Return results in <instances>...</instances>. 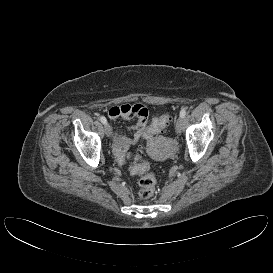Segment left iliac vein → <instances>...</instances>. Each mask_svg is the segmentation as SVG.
Instances as JSON below:
<instances>
[{"label":"left iliac vein","mask_w":273,"mask_h":273,"mask_svg":"<svg viewBox=\"0 0 273 273\" xmlns=\"http://www.w3.org/2000/svg\"><path fill=\"white\" fill-rule=\"evenodd\" d=\"M175 129L178 134H180L183 130V118L179 117L175 121Z\"/></svg>","instance_id":"obj_1"}]
</instances>
